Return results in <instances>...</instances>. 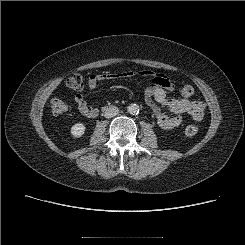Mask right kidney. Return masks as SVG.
I'll list each match as a JSON object with an SVG mask.
<instances>
[{
    "instance_id": "right-kidney-1",
    "label": "right kidney",
    "mask_w": 245,
    "mask_h": 245,
    "mask_svg": "<svg viewBox=\"0 0 245 245\" xmlns=\"http://www.w3.org/2000/svg\"><path fill=\"white\" fill-rule=\"evenodd\" d=\"M85 125L83 123H76L71 127V135L74 139L80 138L85 133Z\"/></svg>"
}]
</instances>
